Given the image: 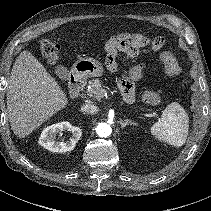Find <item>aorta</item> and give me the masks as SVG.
Segmentation results:
<instances>
[{"label":"aorta","mask_w":211,"mask_h":211,"mask_svg":"<svg viewBox=\"0 0 211 211\" xmlns=\"http://www.w3.org/2000/svg\"><path fill=\"white\" fill-rule=\"evenodd\" d=\"M96 132L99 137H109L112 133V128L107 123H99L96 127Z\"/></svg>","instance_id":"1"}]
</instances>
